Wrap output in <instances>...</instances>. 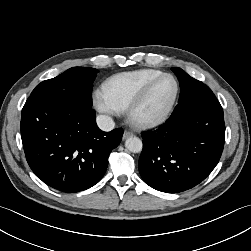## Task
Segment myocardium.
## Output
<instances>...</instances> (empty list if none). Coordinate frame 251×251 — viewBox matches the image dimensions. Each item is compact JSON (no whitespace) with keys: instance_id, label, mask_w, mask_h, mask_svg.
<instances>
[{"instance_id":"myocardium-1","label":"myocardium","mask_w":251,"mask_h":251,"mask_svg":"<svg viewBox=\"0 0 251 251\" xmlns=\"http://www.w3.org/2000/svg\"><path fill=\"white\" fill-rule=\"evenodd\" d=\"M171 78L175 83V92L173 97L167 107L164 109L162 113L152 118H141L138 115L139 109L142 107L147 97L149 96L153 87L162 79ZM180 93V84L177 78L170 73H163L152 80H150L143 89L139 92V94L135 97V99L131 102L127 109V115L130 123L139 129H153L162 124H164L170 115L173 112V109L176 105Z\"/></svg>"}]
</instances>
